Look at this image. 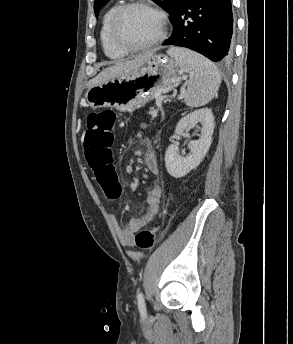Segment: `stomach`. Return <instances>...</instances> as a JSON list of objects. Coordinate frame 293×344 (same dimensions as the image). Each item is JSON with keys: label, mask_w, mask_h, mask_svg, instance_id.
Returning <instances> with one entry per match:
<instances>
[{"label": "stomach", "mask_w": 293, "mask_h": 344, "mask_svg": "<svg viewBox=\"0 0 293 344\" xmlns=\"http://www.w3.org/2000/svg\"><path fill=\"white\" fill-rule=\"evenodd\" d=\"M183 72L172 57L153 54L136 71L88 89L85 98L93 109L112 107L133 112L155 96L175 89Z\"/></svg>", "instance_id": "1"}]
</instances>
